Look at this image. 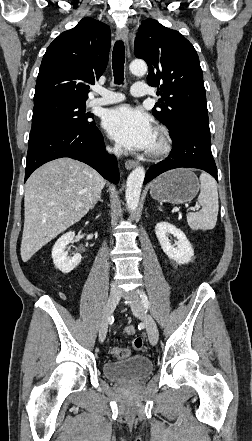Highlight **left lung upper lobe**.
<instances>
[{"label": "left lung upper lobe", "instance_id": "5c2ea615", "mask_svg": "<svg viewBox=\"0 0 252 441\" xmlns=\"http://www.w3.org/2000/svg\"><path fill=\"white\" fill-rule=\"evenodd\" d=\"M135 56L149 67L148 84L159 87L161 101L153 115L171 134L182 122H209L202 69L193 45L178 31L155 19L141 22L135 39Z\"/></svg>", "mask_w": 252, "mask_h": 441}]
</instances>
